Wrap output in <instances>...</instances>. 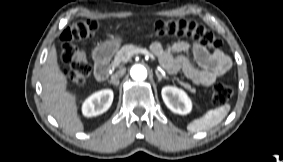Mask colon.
<instances>
[{
  "mask_svg": "<svg viewBox=\"0 0 283 162\" xmlns=\"http://www.w3.org/2000/svg\"><path fill=\"white\" fill-rule=\"evenodd\" d=\"M98 29L95 20H81L73 23L61 34V58L66 65L65 75L72 88L82 86L91 72L85 51L77 42L91 38ZM152 32L159 37H190L212 49L221 47V40L203 25L187 19H159L152 23ZM234 88L228 82H219L213 88L212 100L223 105L233 96Z\"/></svg>",
  "mask_w": 283,
  "mask_h": 162,
  "instance_id": "1",
  "label": "colon"
}]
</instances>
